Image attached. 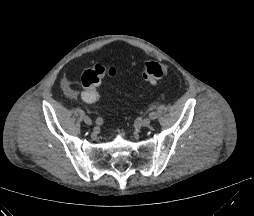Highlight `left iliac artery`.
<instances>
[{
    "instance_id": "left-iliac-artery-1",
    "label": "left iliac artery",
    "mask_w": 254,
    "mask_h": 216,
    "mask_svg": "<svg viewBox=\"0 0 254 216\" xmlns=\"http://www.w3.org/2000/svg\"><path fill=\"white\" fill-rule=\"evenodd\" d=\"M149 118L155 120L157 118V113L155 111H151L149 113Z\"/></svg>"
}]
</instances>
